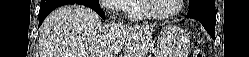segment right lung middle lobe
<instances>
[{
    "label": "right lung middle lobe",
    "mask_w": 249,
    "mask_h": 57,
    "mask_svg": "<svg viewBox=\"0 0 249 57\" xmlns=\"http://www.w3.org/2000/svg\"><path fill=\"white\" fill-rule=\"evenodd\" d=\"M87 4L92 5L94 7H100L99 0H84Z\"/></svg>",
    "instance_id": "obj_1"
}]
</instances>
